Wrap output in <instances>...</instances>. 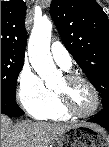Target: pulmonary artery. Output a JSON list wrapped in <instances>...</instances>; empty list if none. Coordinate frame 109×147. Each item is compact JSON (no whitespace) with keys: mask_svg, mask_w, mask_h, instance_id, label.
<instances>
[{"mask_svg":"<svg viewBox=\"0 0 109 147\" xmlns=\"http://www.w3.org/2000/svg\"><path fill=\"white\" fill-rule=\"evenodd\" d=\"M51 54L55 63L63 68L69 70L72 67V58L67 49L60 43L54 42L51 46Z\"/></svg>","mask_w":109,"mask_h":147,"instance_id":"obj_1","label":"pulmonary artery"}]
</instances>
